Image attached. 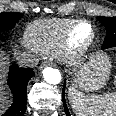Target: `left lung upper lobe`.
<instances>
[{"label":"left lung upper lobe","instance_id":"left-lung-upper-lobe-1","mask_svg":"<svg viewBox=\"0 0 116 116\" xmlns=\"http://www.w3.org/2000/svg\"><path fill=\"white\" fill-rule=\"evenodd\" d=\"M97 19L106 27L107 35L103 43V49L116 47V17H102Z\"/></svg>","mask_w":116,"mask_h":116}]
</instances>
